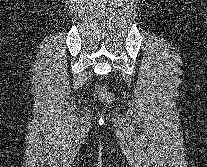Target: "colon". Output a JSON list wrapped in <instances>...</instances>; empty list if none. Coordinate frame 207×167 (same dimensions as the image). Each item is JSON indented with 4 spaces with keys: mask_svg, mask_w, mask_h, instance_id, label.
Returning <instances> with one entry per match:
<instances>
[{
    "mask_svg": "<svg viewBox=\"0 0 207 167\" xmlns=\"http://www.w3.org/2000/svg\"><path fill=\"white\" fill-rule=\"evenodd\" d=\"M96 94L98 98L106 104H111L114 101L113 94L103 86L96 88Z\"/></svg>",
    "mask_w": 207,
    "mask_h": 167,
    "instance_id": "colon-1",
    "label": "colon"
}]
</instances>
